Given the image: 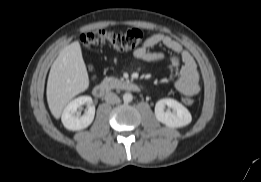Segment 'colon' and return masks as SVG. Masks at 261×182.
<instances>
[{
	"label": "colon",
	"mask_w": 261,
	"mask_h": 182,
	"mask_svg": "<svg viewBox=\"0 0 261 182\" xmlns=\"http://www.w3.org/2000/svg\"><path fill=\"white\" fill-rule=\"evenodd\" d=\"M146 38V34L138 29L119 32L100 29L84 33L81 36V42L87 49L108 45L118 50H131L140 47ZM195 101L192 95L184 98L187 105H193Z\"/></svg>",
	"instance_id": "colon-1"
}]
</instances>
